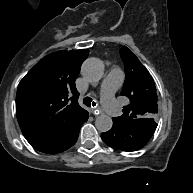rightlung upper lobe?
<instances>
[{
	"mask_svg": "<svg viewBox=\"0 0 193 193\" xmlns=\"http://www.w3.org/2000/svg\"><path fill=\"white\" fill-rule=\"evenodd\" d=\"M87 49L58 51L41 59L21 80L16 115L26 140L41 152L66 145L88 119L75 80Z\"/></svg>",
	"mask_w": 193,
	"mask_h": 193,
	"instance_id": "obj_1",
	"label": "right lung upper lobe"
}]
</instances>
